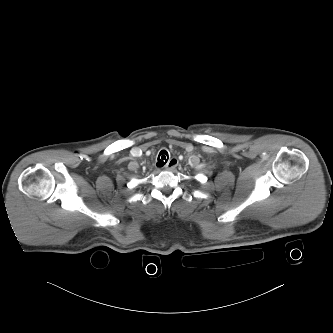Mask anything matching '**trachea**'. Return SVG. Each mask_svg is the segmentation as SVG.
<instances>
[{"label":"trachea","mask_w":333,"mask_h":333,"mask_svg":"<svg viewBox=\"0 0 333 333\" xmlns=\"http://www.w3.org/2000/svg\"><path fill=\"white\" fill-rule=\"evenodd\" d=\"M167 161H168V152L166 150H162L158 156L157 167L164 166Z\"/></svg>","instance_id":"1"}]
</instances>
